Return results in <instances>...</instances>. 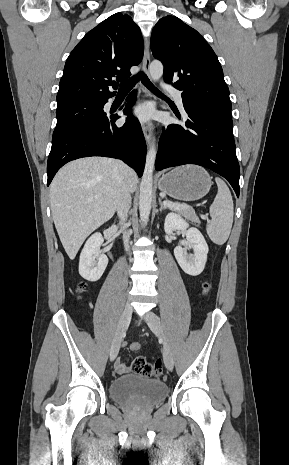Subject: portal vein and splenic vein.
<instances>
[{
	"label": "portal vein and splenic vein",
	"mask_w": 289,
	"mask_h": 465,
	"mask_svg": "<svg viewBox=\"0 0 289 465\" xmlns=\"http://www.w3.org/2000/svg\"><path fill=\"white\" fill-rule=\"evenodd\" d=\"M164 205L166 206H170V207H174L176 209H182V208H186L188 205H185V204H176V203H173V202H170V201H167L165 200L163 202ZM204 219H206L205 217H203Z\"/></svg>",
	"instance_id": "18ae733b"
}]
</instances>
